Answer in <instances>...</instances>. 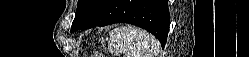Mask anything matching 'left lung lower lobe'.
<instances>
[{
	"label": "left lung lower lobe",
	"mask_w": 249,
	"mask_h": 57,
	"mask_svg": "<svg viewBox=\"0 0 249 57\" xmlns=\"http://www.w3.org/2000/svg\"><path fill=\"white\" fill-rule=\"evenodd\" d=\"M169 20L168 0H107L100 10L78 29L129 23L152 33L164 47L169 31Z\"/></svg>",
	"instance_id": "obj_1"
}]
</instances>
